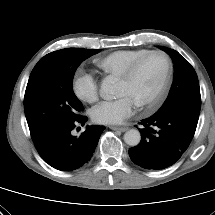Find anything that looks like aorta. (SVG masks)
<instances>
[{"label": "aorta", "instance_id": "762f6f07", "mask_svg": "<svg viewBox=\"0 0 215 215\" xmlns=\"http://www.w3.org/2000/svg\"><path fill=\"white\" fill-rule=\"evenodd\" d=\"M118 93L117 80L111 76L103 79L100 87V96L105 100H111ZM124 141L129 146H137L141 141L140 132L137 129H130L124 134Z\"/></svg>", "mask_w": 215, "mask_h": 215}]
</instances>
